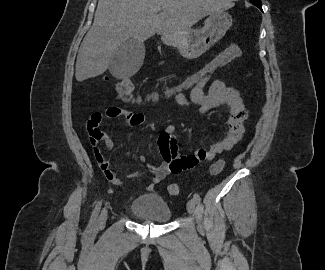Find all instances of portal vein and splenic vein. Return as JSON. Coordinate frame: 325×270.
<instances>
[{
    "instance_id": "portal-vein-and-splenic-vein-1",
    "label": "portal vein and splenic vein",
    "mask_w": 325,
    "mask_h": 270,
    "mask_svg": "<svg viewBox=\"0 0 325 270\" xmlns=\"http://www.w3.org/2000/svg\"><path fill=\"white\" fill-rule=\"evenodd\" d=\"M157 10L160 11V10H162V8H158Z\"/></svg>"
}]
</instances>
